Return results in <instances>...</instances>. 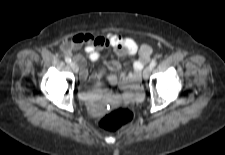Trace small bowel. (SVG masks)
Segmentation results:
<instances>
[{
    "mask_svg": "<svg viewBox=\"0 0 225 155\" xmlns=\"http://www.w3.org/2000/svg\"><path fill=\"white\" fill-rule=\"evenodd\" d=\"M84 48L86 56L91 61H99L102 58L101 51L111 48L114 52L124 57L127 55H139L131 65L123 68L117 61H108L101 66L93 77L95 85L91 89L82 91V98L86 101H94L101 96L110 103H120L139 100L142 97L140 86V73L151 55V48L146 44L139 45L135 40L117 34L109 33L105 36H95L90 33H77L61 45V50L67 57H73L81 66V78L88 79V71L85 67L83 55L73 56L77 49ZM132 71L129 72L128 69ZM119 73V75H118ZM119 84L124 91L110 93L108 85Z\"/></svg>",
    "mask_w": 225,
    "mask_h": 155,
    "instance_id": "c3829d8e",
    "label": "small bowel"
}]
</instances>
